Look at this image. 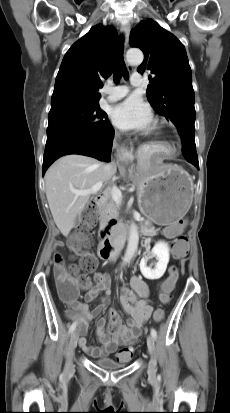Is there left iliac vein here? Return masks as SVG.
Instances as JSON below:
<instances>
[{"label":"left iliac vein","mask_w":230,"mask_h":413,"mask_svg":"<svg viewBox=\"0 0 230 413\" xmlns=\"http://www.w3.org/2000/svg\"><path fill=\"white\" fill-rule=\"evenodd\" d=\"M147 346L149 349V353L151 355V359L149 362V367H148V373L151 376H154L156 373V360L154 357V353H155V338L152 335H149L147 337Z\"/></svg>","instance_id":"4c4485c4"}]
</instances>
